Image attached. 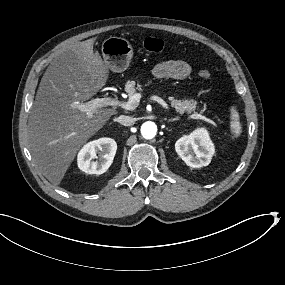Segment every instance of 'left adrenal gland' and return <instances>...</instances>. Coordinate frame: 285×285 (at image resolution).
Returning <instances> with one entry per match:
<instances>
[{
  "label": "left adrenal gland",
  "mask_w": 285,
  "mask_h": 285,
  "mask_svg": "<svg viewBox=\"0 0 285 285\" xmlns=\"http://www.w3.org/2000/svg\"><path fill=\"white\" fill-rule=\"evenodd\" d=\"M177 120H179V117H175V118L169 119L168 122H173V121H177Z\"/></svg>",
  "instance_id": "1"
}]
</instances>
